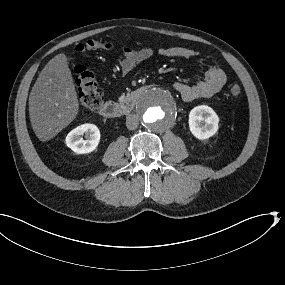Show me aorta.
I'll return each instance as SVG.
<instances>
[{
  "label": "aorta",
  "instance_id": "1",
  "mask_svg": "<svg viewBox=\"0 0 285 285\" xmlns=\"http://www.w3.org/2000/svg\"><path fill=\"white\" fill-rule=\"evenodd\" d=\"M133 111L139 125L154 134L171 130L180 115L179 104L174 94L159 85L142 89L134 100Z\"/></svg>",
  "mask_w": 285,
  "mask_h": 285
}]
</instances>
